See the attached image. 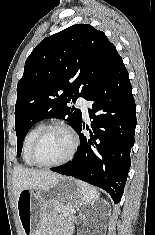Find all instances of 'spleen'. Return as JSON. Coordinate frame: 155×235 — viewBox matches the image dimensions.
Segmentation results:
<instances>
[{"instance_id":"spleen-1","label":"spleen","mask_w":155,"mask_h":235,"mask_svg":"<svg viewBox=\"0 0 155 235\" xmlns=\"http://www.w3.org/2000/svg\"><path fill=\"white\" fill-rule=\"evenodd\" d=\"M77 185L79 186L84 201L85 202H94L99 197V192L94 188L93 186H90L89 184L82 182L80 180L77 181Z\"/></svg>"}]
</instances>
